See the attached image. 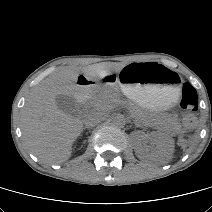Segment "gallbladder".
I'll list each match as a JSON object with an SVG mask.
<instances>
[{"instance_id": "gallbladder-1", "label": "gallbladder", "mask_w": 212, "mask_h": 212, "mask_svg": "<svg viewBox=\"0 0 212 212\" xmlns=\"http://www.w3.org/2000/svg\"><path fill=\"white\" fill-rule=\"evenodd\" d=\"M58 108L66 114L73 115L75 113L77 102L73 96L60 94L55 98Z\"/></svg>"}]
</instances>
